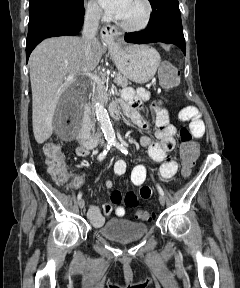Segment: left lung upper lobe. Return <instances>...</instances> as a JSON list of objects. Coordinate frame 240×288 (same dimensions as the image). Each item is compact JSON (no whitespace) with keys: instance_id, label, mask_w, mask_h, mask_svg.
I'll use <instances>...</instances> for the list:
<instances>
[{"instance_id":"1","label":"left lung upper lobe","mask_w":240,"mask_h":288,"mask_svg":"<svg viewBox=\"0 0 240 288\" xmlns=\"http://www.w3.org/2000/svg\"><path fill=\"white\" fill-rule=\"evenodd\" d=\"M153 9V15L155 16L162 11H172L175 13L179 12L178 0H149Z\"/></svg>"}]
</instances>
